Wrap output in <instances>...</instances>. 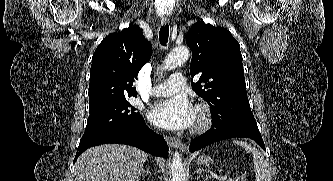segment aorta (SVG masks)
<instances>
[{
	"label": "aorta",
	"mask_w": 333,
	"mask_h": 181,
	"mask_svg": "<svg viewBox=\"0 0 333 181\" xmlns=\"http://www.w3.org/2000/svg\"><path fill=\"white\" fill-rule=\"evenodd\" d=\"M189 57V50L186 47L175 48L165 59L163 70H172L181 63H184ZM172 181H186L185 170L181 156L178 152L173 155L171 163Z\"/></svg>",
	"instance_id": "762f6f07"
}]
</instances>
